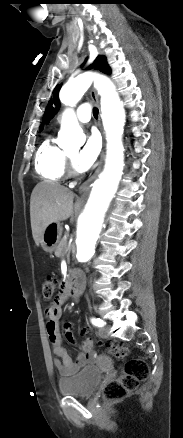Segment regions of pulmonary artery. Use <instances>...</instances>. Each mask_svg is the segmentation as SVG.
<instances>
[{
  "label": "pulmonary artery",
  "mask_w": 183,
  "mask_h": 438,
  "mask_svg": "<svg viewBox=\"0 0 183 438\" xmlns=\"http://www.w3.org/2000/svg\"><path fill=\"white\" fill-rule=\"evenodd\" d=\"M77 120L81 123H87L91 118V108L89 104L83 103L81 104L76 111Z\"/></svg>",
  "instance_id": "obj_1"
}]
</instances>
